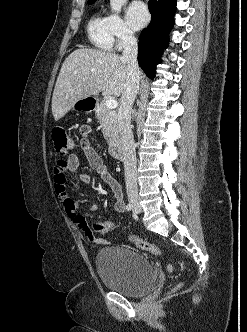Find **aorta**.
Instances as JSON below:
<instances>
[{
    "label": "aorta",
    "instance_id": "762f6f07",
    "mask_svg": "<svg viewBox=\"0 0 247 332\" xmlns=\"http://www.w3.org/2000/svg\"><path fill=\"white\" fill-rule=\"evenodd\" d=\"M127 2V0H110V7L113 11L120 13L122 6Z\"/></svg>",
    "mask_w": 247,
    "mask_h": 332
}]
</instances>
